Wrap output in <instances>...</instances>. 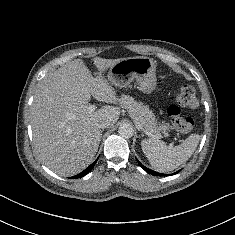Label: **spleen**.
Returning <instances> with one entry per match:
<instances>
[{
  "instance_id": "spleen-1",
  "label": "spleen",
  "mask_w": 235,
  "mask_h": 235,
  "mask_svg": "<svg viewBox=\"0 0 235 235\" xmlns=\"http://www.w3.org/2000/svg\"><path fill=\"white\" fill-rule=\"evenodd\" d=\"M199 140L198 134H191L180 145L169 148L164 141L149 138L142 140L141 146L152 168L164 173L185 163L196 150Z\"/></svg>"
}]
</instances>
